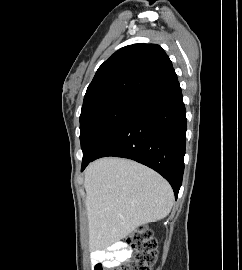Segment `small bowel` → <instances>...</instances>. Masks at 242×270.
<instances>
[{
    "label": "small bowel",
    "instance_id": "small-bowel-1",
    "mask_svg": "<svg viewBox=\"0 0 242 270\" xmlns=\"http://www.w3.org/2000/svg\"><path fill=\"white\" fill-rule=\"evenodd\" d=\"M131 255V249L124 243L113 244L107 251H96L93 255V263H100L103 270L117 267L126 261Z\"/></svg>",
    "mask_w": 242,
    "mask_h": 270
}]
</instances>
